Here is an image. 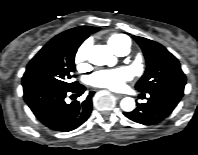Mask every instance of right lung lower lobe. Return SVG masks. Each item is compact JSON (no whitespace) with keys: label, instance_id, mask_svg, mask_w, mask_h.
<instances>
[{"label":"right lung lower lobe","instance_id":"obj_1","mask_svg":"<svg viewBox=\"0 0 198 155\" xmlns=\"http://www.w3.org/2000/svg\"><path fill=\"white\" fill-rule=\"evenodd\" d=\"M24 100L36 118L48 128L55 131L69 132L82 125L92 111V97L90 92L82 102L73 101L66 104L64 101L69 92L80 96L85 87L77 84L72 88H62L54 85H31L23 88Z\"/></svg>","mask_w":198,"mask_h":155}]
</instances>
